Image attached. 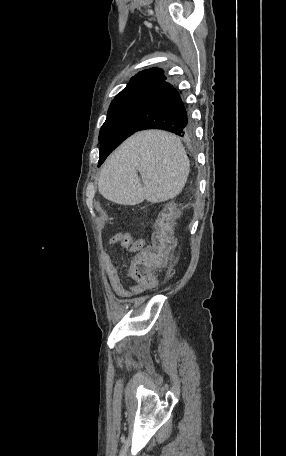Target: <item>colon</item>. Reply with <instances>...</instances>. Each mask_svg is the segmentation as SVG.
Segmentation results:
<instances>
[{
	"instance_id": "colon-1",
	"label": "colon",
	"mask_w": 286,
	"mask_h": 456,
	"mask_svg": "<svg viewBox=\"0 0 286 456\" xmlns=\"http://www.w3.org/2000/svg\"><path fill=\"white\" fill-rule=\"evenodd\" d=\"M170 248L169 234L162 220L156 223L152 243L149 246H139V253L130 267V276L135 287L140 290L157 286L156 270L163 269L168 261Z\"/></svg>"
}]
</instances>
